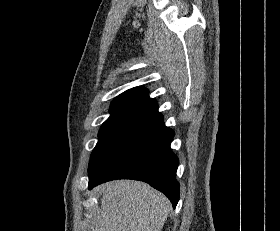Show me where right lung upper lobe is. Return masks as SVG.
I'll return each instance as SVG.
<instances>
[{"mask_svg":"<svg viewBox=\"0 0 280 231\" xmlns=\"http://www.w3.org/2000/svg\"><path fill=\"white\" fill-rule=\"evenodd\" d=\"M108 120L126 121L139 125L153 120L161 114L154 99L148 96V90L142 86L129 89L117 96L110 107Z\"/></svg>","mask_w":280,"mask_h":231,"instance_id":"right-lung-upper-lobe-1","label":"right lung upper lobe"}]
</instances>
